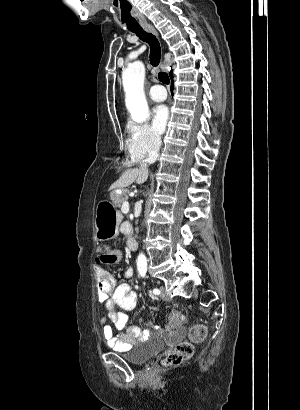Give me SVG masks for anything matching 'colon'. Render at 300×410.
<instances>
[{
    "label": "colon",
    "instance_id": "colon-1",
    "mask_svg": "<svg viewBox=\"0 0 300 410\" xmlns=\"http://www.w3.org/2000/svg\"><path fill=\"white\" fill-rule=\"evenodd\" d=\"M119 258V249L108 248L97 257V262L100 265L110 266L116 264ZM169 317L173 327H180L184 322V317L182 316V310L180 308H175L173 312L170 313ZM207 333L208 331L205 325L199 324L193 326L190 329L191 341H183L179 343L173 351L166 355L164 364L167 366L179 365L184 360L190 358L194 353L193 343L203 341L207 337Z\"/></svg>",
    "mask_w": 300,
    "mask_h": 410
}]
</instances>
